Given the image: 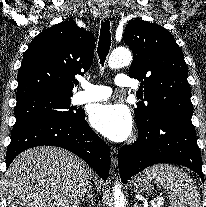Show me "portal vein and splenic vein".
Wrapping results in <instances>:
<instances>
[{"instance_id":"obj_1","label":"portal vein and splenic vein","mask_w":206,"mask_h":207,"mask_svg":"<svg viewBox=\"0 0 206 207\" xmlns=\"http://www.w3.org/2000/svg\"><path fill=\"white\" fill-rule=\"evenodd\" d=\"M162 205V201H158L157 203L153 202V207H160Z\"/></svg>"}]
</instances>
